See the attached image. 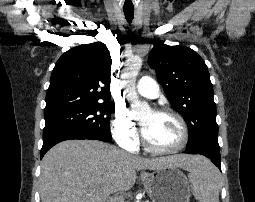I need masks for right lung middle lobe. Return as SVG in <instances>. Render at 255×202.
<instances>
[{"label":"right lung middle lobe","mask_w":255,"mask_h":202,"mask_svg":"<svg viewBox=\"0 0 255 202\" xmlns=\"http://www.w3.org/2000/svg\"><path fill=\"white\" fill-rule=\"evenodd\" d=\"M112 103H90L44 114V132L73 128L87 132L99 140L111 141L109 130Z\"/></svg>","instance_id":"obj_1"}]
</instances>
